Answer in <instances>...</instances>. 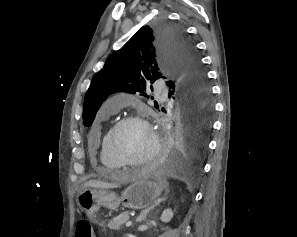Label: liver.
Returning a JSON list of instances; mask_svg holds the SVG:
<instances>
[{"label":"liver","instance_id":"1","mask_svg":"<svg viewBox=\"0 0 297 237\" xmlns=\"http://www.w3.org/2000/svg\"><path fill=\"white\" fill-rule=\"evenodd\" d=\"M101 188V189H109V188H116L117 186L114 184L102 182L99 180H89L88 182L84 183L83 188Z\"/></svg>","mask_w":297,"mask_h":237}]
</instances>
